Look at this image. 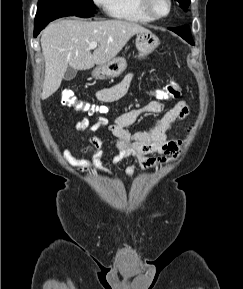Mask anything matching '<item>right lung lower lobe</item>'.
Returning <instances> with one entry per match:
<instances>
[{"instance_id": "98d812e1", "label": "right lung lower lobe", "mask_w": 243, "mask_h": 289, "mask_svg": "<svg viewBox=\"0 0 243 289\" xmlns=\"http://www.w3.org/2000/svg\"><path fill=\"white\" fill-rule=\"evenodd\" d=\"M65 16H77V17H92L93 14H74L67 13L62 11H56L52 13H39L37 12L35 17V28H34V37H36L40 31L51 21Z\"/></svg>"}]
</instances>
